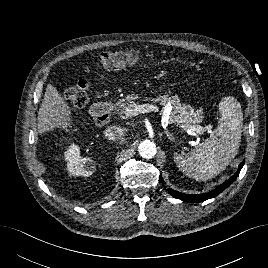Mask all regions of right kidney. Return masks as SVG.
I'll use <instances>...</instances> for the list:
<instances>
[{"label":"right kidney","instance_id":"ca27d5eb","mask_svg":"<svg viewBox=\"0 0 268 268\" xmlns=\"http://www.w3.org/2000/svg\"><path fill=\"white\" fill-rule=\"evenodd\" d=\"M64 159L67 161V170L71 176L89 177L96 170V162L89 157H81L80 147L74 143L65 151Z\"/></svg>","mask_w":268,"mask_h":268}]
</instances>
